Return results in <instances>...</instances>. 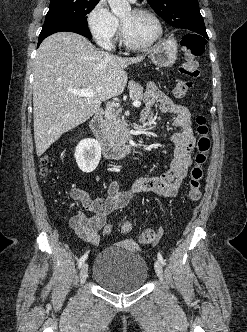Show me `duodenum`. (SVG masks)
Returning <instances> with one entry per match:
<instances>
[{
	"mask_svg": "<svg viewBox=\"0 0 247 332\" xmlns=\"http://www.w3.org/2000/svg\"><path fill=\"white\" fill-rule=\"evenodd\" d=\"M90 128L94 136L98 139L106 158L124 159L132 154V145L117 146L110 140L104 128L103 113L101 111L97 112L91 119Z\"/></svg>",
	"mask_w": 247,
	"mask_h": 332,
	"instance_id": "obj_1",
	"label": "duodenum"
}]
</instances>
